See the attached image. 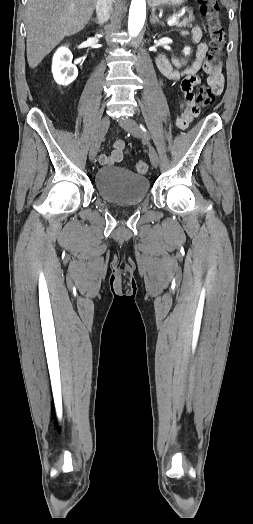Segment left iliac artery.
I'll list each match as a JSON object with an SVG mask.
<instances>
[{
  "instance_id": "obj_1",
  "label": "left iliac artery",
  "mask_w": 253,
  "mask_h": 524,
  "mask_svg": "<svg viewBox=\"0 0 253 524\" xmlns=\"http://www.w3.org/2000/svg\"><path fill=\"white\" fill-rule=\"evenodd\" d=\"M142 130H145L142 126H141Z\"/></svg>"
}]
</instances>
